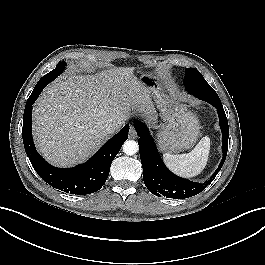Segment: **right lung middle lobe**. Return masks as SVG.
<instances>
[{
  "label": "right lung middle lobe",
  "instance_id": "obj_1",
  "mask_svg": "<svg viewBox=\"0 0 265 265\" xmlns=\"http://www.w3.org/2000/svg\"><path fill=\"white\" fill-rule=\"evenodd\" d=\"M66 66L64 61L60 62L54 70L43 76L42 78L48 79L50 82L54 80L58 75H60Z\"/></svg>",
  "mask_w": 265,
  "mask_h": 265
}]
</instances>
